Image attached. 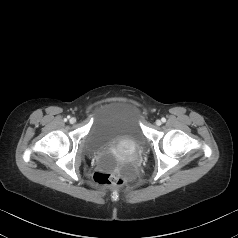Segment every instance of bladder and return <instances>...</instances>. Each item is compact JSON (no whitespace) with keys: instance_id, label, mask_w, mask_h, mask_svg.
<instances>
[{"instance_id":"bladder-1","label":"bladder","mask_w":238,"mask_h":238,"mask_svg":"<svg viewBox=\"0 0 238 238\" xmlns=\"http://www.w3.org/2000/svg\"><path fill=\"white\" fill-rule=\"evenodd\" d=\"M91 124L84 140L85 152L99 166L114 160L113 150L121 144L134 148L143 146V109L129 99H111L97 104L91 111Z\"/></svg>"}]
</instances>
